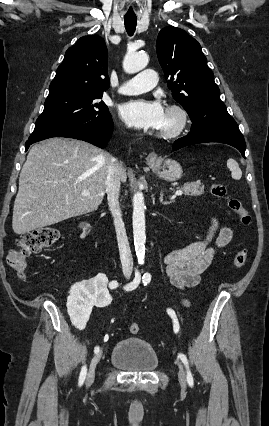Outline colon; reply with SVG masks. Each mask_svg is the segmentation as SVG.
Segmentation results:
<instances>
[{
	"label": "colon",
	"instance_id": "obj_1",
	"mask_svg": "<svg viewBox=\"0 0 269 426\" xmlns=\"http://www.w3.org/2000/svg\"><path fill=\"white\" fill-rule=\"evenodd\" d=\"M211 195L225 202L230 211L238 215L243 226H249L252 221L251 214L243 207L241 201L227 195L226 187L223 184H212L210 188ZM60 237L59 231L54 227H42L22 234L17 240V248L11 249L6 255L8 265L16 273V275L24 279L27 275V258L41 252L42 250L54 245ZM247 260V251L239 250L233 259L236 268H241ZM132 334H138L141 331V325L132 323L129 326Z\"/></svg>",
	"mask_w": 269,
	"mask_h": 426
}]
</instances>
